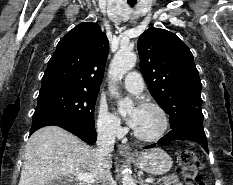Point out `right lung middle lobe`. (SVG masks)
<instances>
[{
    "mask_svg": "<svg viewBox=\"0 0 233 185\" xmlns=\"http://www.w3.org/2000/svg\"><path fill=\"white\" fill-rule=\"evenodd\" d=\"M98 92L55 88L40 91L33 121L62 120L94 128Z\"/></svg>",
    "mask_w": 233,
    "mask_h": 185,
    "instance_id": "dd1d6c3e",
    "label": "right lung middle lobe"
}]
</instances>
